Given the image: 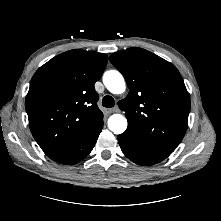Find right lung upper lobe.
Returning a JSON list of instances; mask_svg holds the SVG:
<instances>
[{
    "instance_id": "right-lung-upper-lobe-1",
    "label": "right lung upper lobe",
    "mask_w": 221,
    "mask_h": 221,
    "mask_svg": "<svg viewBox=\"0 0 221 221\" xmlns=\"http://www.w3.org/2000/svg\"><path fill=\"white\" fill-rule=\"evenodd\" d=\"M107 60L105 54L74 49L34 74L25 108L33 137L46 155L74 145L103 117L94 84Z\"/></svg>"
}]
</instances>
